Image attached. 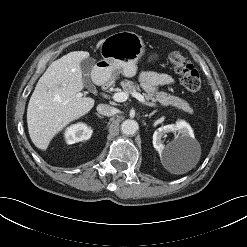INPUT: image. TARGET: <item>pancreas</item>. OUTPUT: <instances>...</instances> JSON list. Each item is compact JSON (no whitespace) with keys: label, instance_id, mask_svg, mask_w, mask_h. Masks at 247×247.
<instances>
[{"label":"pancreas","instance_id":"cf45deb5","mask_svg":"<svg viewBox=\"0 0 247 247\" xmlns=\"http://www.w3.org/2000/svg\"><path fill=\"white\" fill-rule=\"evenodd\" d=\"M120 85L122 86L123 90L127 93L140 91V87L138 84H135L133 81H129L127 79L121 81ZM144 96L146 99L151 100L152 102H160L162 105H171L189 114L193 113V109L190 107L187 101L177 96L170 95L167 92L160 91L148 94L145 93Z\"/></svg>","mask_w":247,"mask_h":247}]
</instances>
